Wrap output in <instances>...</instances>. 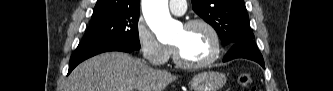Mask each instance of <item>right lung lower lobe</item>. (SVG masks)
<instances>
[{
	"label": "right lung lower lobe",
	"mask_w": 333,
	"mask_h": 91,
	"mask_svg": "<svg viewBox=\"0 0 333 91\" xmlns=\"http://www.w3.org/2000/svg\"><path fill=\"white\" fill-rule=\"evenodd\" d=\"M136 49L128 47L121 43L116 42H103V43H80L72 54L68 74L82 61L108 51H123L132 52Z\"/></svg>",
	"instance_id": "right-lung-lower-lobe-1"
}]
</instances>
